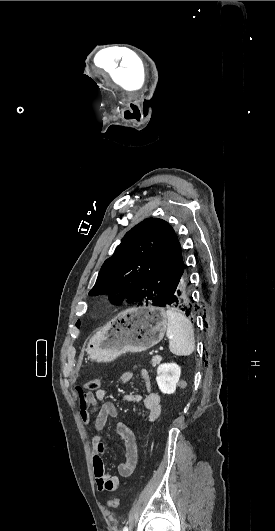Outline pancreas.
Segmentation results:
<instances>
[{"instance_id":"pancreas-1","label":"pancreas","mask_w":275,"mask_h":531,"mask_svg":"<svg viewBox=\"0 0 275 531\" xmlns=\"http://www.w3.org/2000/svg\"><path fill=\"white\" fill-rule=\"evenodd\" d=\"M161 359L162 357H160V355H155V357H152L151 359V365H153V367H156V365H159Z\"/></svg>"}]
</instances>
